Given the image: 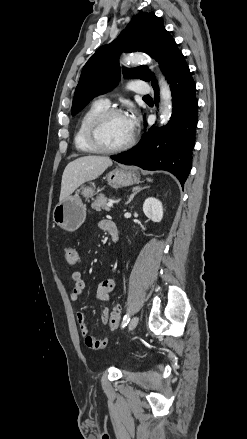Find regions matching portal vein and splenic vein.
Instances as JSON below:
<instances>
[{"label": "portal vein and splenic vein", "mask_w": 247, "mask_h": 439, "mask_svg": "<svg viewBox=\"0 0 247 439\" xmlns=\"http://www.w3.org/2000/svg\"><path fill=\"white\" fill-rule=\"evenodd\" d=\"M107 206H108V207H113V202H112V201L108 202V203H107Z\"/></svg>", "instance_id": "portal-vein-and-splenic-vein-1"}]
</instances>
